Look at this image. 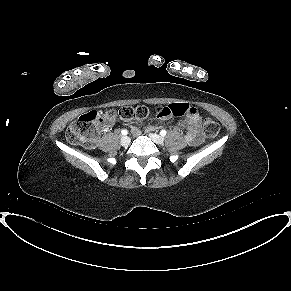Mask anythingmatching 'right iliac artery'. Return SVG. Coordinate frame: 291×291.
I'll return each mask as SVG.
<instances>
[{"label": "right iliac artery", "instance_id": "obj_1", "mask_svg": "<svg viewBox=\"0 0 291 291\" xmlns=\"http://www.w3.org/2000/svg\"><path fill=\"white\" fill-rule=\"evenodd\" d=\"M121 134H122V135H127V134H128V131H127L126 129H123V130L121 131Z\"/></svg>", "mask_w": 291, "mask_h": 291}]
</instances>
